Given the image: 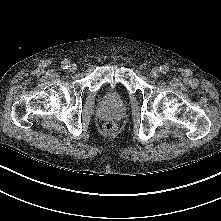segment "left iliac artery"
<instances>
[{
	"label": "left iliac artery",
	"mask_w": 221,
	"mask_h": 221,
	"mask_svg": "<svg viewBox=\"0 0 221 221\" xmlns=\"http://www.w3.org/2000/svg\"><path fill=\"white\" fill-rule=\"evenodd\" d=\"M160 71L163 74H166L169 71V68L166 65L160 67Z\"/></svg>",
	"instance_id": "44dca946"
}]
</instances>
